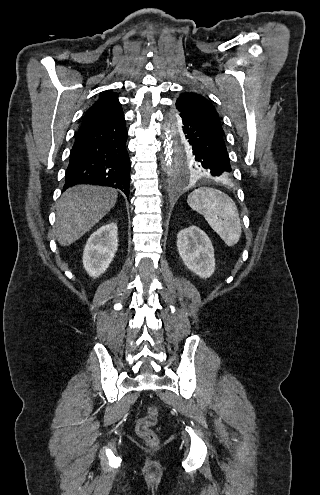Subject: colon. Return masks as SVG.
<instances>
[{
  "label": "colon",
  "instance_id": "5ec220e1",
  "mask_svg": "<svg viewBox=\"0 0 320 495\" xmlns=\"http://www.w3.org/2000/svg\"><path fill=\"white\" fill-rule=\"evenodd\" d=\"M159 410L152 406L148 408L145 416L140 418L136 424V432L148 445L154 446L158 443V437L152 430L158 421Z\"/></svg>",
  "mask_w": 320,
  "mask_h": 495
}]
</instances>
